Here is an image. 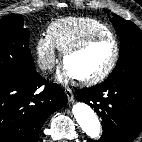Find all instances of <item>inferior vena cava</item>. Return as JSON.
Returning a JSON list of instances; mask_svg holds the SVG:
<instances>
[{"mask_svg": "<svg viewBox=\"0 0 142 142\" xmlns=\"http://www.w3.org/2000/svg\"><path fill=\"white\" fill-rule=\"evenodd\" d=\"M39 66L42 70L51 69L53 67V62L52 61H45V62L41 63Z\"/></svg>", "mask_w": 142, "mask_h": 142, "instance_id": "1", "label": "inferior vena cava"}]
</instances>
